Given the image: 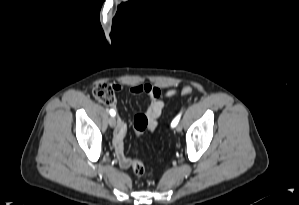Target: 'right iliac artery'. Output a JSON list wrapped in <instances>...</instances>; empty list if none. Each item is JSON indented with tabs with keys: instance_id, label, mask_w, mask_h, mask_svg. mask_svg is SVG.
I'll return each instance as SVG.
<instances>
[{
	"instance_id": "1",
	"label": "right iliac artery",
	"mask_w": 299,
	"mask_h": 205,
	"mask_svg": "<svg viewBox=\"0 0 299 205\" xmlns=\"http://www.w3.org/2000/svg\"><path fill=\"white\" fill-rule=\"evenodd\" d=\"M109 113H110L111 116H115V114H116L113 109H110Z\"/></svg>"
}]
</instances>
